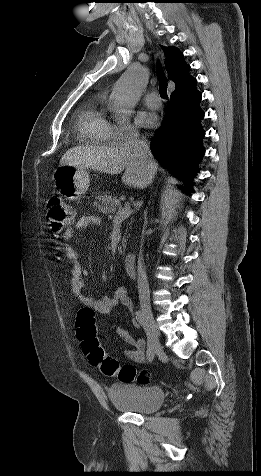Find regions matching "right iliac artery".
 <instances>
[{
  "instance_id": "obj_1",
  "label": "right iliac artery",
  "mask_w": 261,
  "mask_h": 476,
  "mask_svg": "<svg viewBox=\"0 0 261 476\" xmlns=\"http://www.w3.org/2000/svg\"><path fill=\"white\" fill-rule=\"evenodd\" d=\"M136 315V320L138 323L143 327L145 335L148 338L147 342V358L149 361H152L154 356H155V350L154 347L156 346V343L153 341V335L152 331L148 329L147 323H146V317L143 311L138 310L135 313Z\"/></svg>"
}]
</instances>
